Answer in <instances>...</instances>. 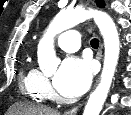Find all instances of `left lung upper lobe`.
<instances>
[{
	"label": "left lung upper lobe",
	"instance_id": "1",
	"mask_svg": "<svg viewBox=\"0 0 131 115\" xmlns=\"http://www.w3.org/2000/svg\"><path fill=\"white\" fill-rule=\"evenodd\" d=\"M97 5H98L99 7H103V6H104L103 0H97Z\"/></svg>",
	"mask_w": 131,
	"mask_h": 115
}]
</instances>
